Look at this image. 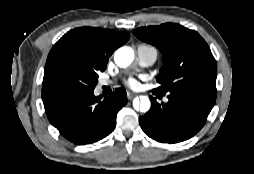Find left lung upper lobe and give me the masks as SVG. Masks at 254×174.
I'll use <instances>...</instances> for the list:
<instances>
[{
	"instance_id": "1",
	"label": "left lung upper lobe",
	"mask_w": 254,
	"mask_h": 174,
	"mask_svg": "<svg viewBox=\"0 0 254 174\" xmlns=\"http://www.w3.org/2000/svg\"><path fill=\"white\" fill-rule=\"evenodd\" d=\"M140 40L155 45L163 54L155 92L194 91L216 98L217 66L211 50L195 31L174 23L141 27L133 32Z\"/></svg>"
}]
</instances>
